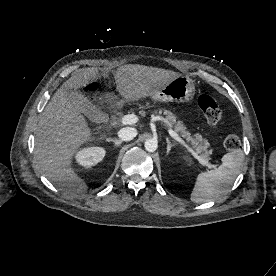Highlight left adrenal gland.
Returning a JSON list of instances; mask_svg holds the SVG:
<instances>
[{"label": "left adrenal gland", "instance_id": "a2214340", "mask_svg": "<svg viewBox=\"0 0 276 276\" xmlns=\"http://www.w3.org/2000/svg\"><path fill=\"white\" fill-rule=\"evenodd\" d=\"M167 142V155L170 153L171 148L174 147L176 144H172L168 138H166Z\"/></svg>", "mask_w": 276, "mask_h": 276}]
</instances>
